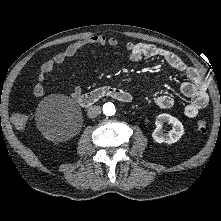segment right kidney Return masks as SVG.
<instances>
[{
	"instance_id": "obj_1",
	"label": "right kidney",
	"mask_w": 221,
	"mask_h": 221,
	"mask_svg": "<svg viewBox=\"0 0 221 221\" xmlns=\"http://www.w3.org/2000/svg\"><path fill=\"white\" fill-rule=\"evenodd\" d=\"M47 137H48L49 139H53V138H55V136H54L53 134H51V133L48 134Z\"/></svg>"
}]
</instances>
